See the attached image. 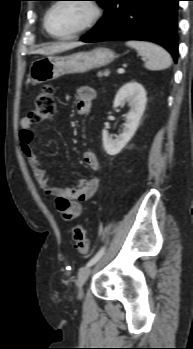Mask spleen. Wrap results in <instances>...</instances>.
Listing matches in <instances>:
<instances>
[{"label": "spleen", "mask_w": 193, "mask_h": 349, "mask_svg": "<svg viewBox=\"0 0 193 349\" xmlns=\"http://www.w3.org/2000/svg\"><path fill=\"white\" fill-rule=\"evenodd\" d=\"M126 45L136 49L139 55L146 58L144 66L149 70H163L172 65L170 54L154 43L130 40Z\"/></svg>", "instance_id": "obj_1"}]
</instances>
